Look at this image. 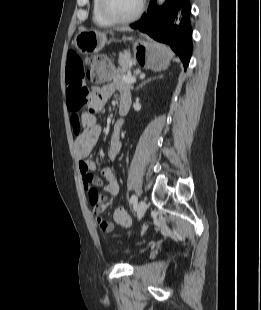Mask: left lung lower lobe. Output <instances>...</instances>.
Masks as SVG:
<instances>
[{
    "mask_svg": "<svg viewBox=\"0 0 261 310\" xmlns=\"http://www.w3.org/2000/svg\"><path fill=\"white\" fill-rule=\"evenodd\" d=\"M190 11L189 0H166L162 7L151 0L147 13L131 27L168 44L178 54L186 70L192 51ZM178 18L180 23L175 24Z\"/></svg>",
    "mask_w": 261,
    "mask_h": 310,
    "instance_id": "obj_1",
    "label": "left lung lower lobe"
}]
</instances>
